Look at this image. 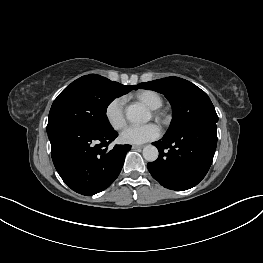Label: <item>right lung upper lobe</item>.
I'll list each match as a JSON object with an SVG mask.
<instances>
[{"label":"right lung upper lobe","mask_w":263,"mask_h":263,"mask_svg":"<svg viewBox=\"0 0 263 263\" xmlns=\"http://www.w3.org/2000/svg\"><path fill=\"white\" fill-rule=\"evenodd\" d=\"M116 85H118L120 88L124 89L125 91L129 92L131 91L132 89L135 88V85H122V84H119L117 82H114Z\"/></svg>","instance_id":"right-lung-upper-lobe-1"}]
</instances>
